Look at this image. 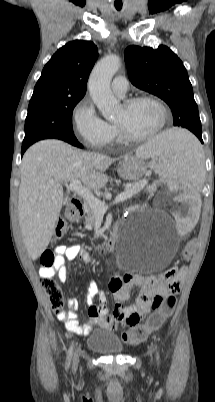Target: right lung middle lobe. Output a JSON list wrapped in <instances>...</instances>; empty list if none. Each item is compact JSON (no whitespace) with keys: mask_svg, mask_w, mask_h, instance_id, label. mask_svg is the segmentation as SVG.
Masks as SVG:
<instances>
[{"mask_svg":"<svg viewBox=\"0 0 215 402\" xmlns=\"http://www.w3.org/2000/svg\"><path fill=\"white\" fill-rule=\"evenodd\" d=\"M81 99L47 94L32 96L22 145L47 138L66 142L76 139L72 129V111Z\"/></svg>","mask_w":215,"mask_h":402,"instance_id":"right-lung-middle-lobe-1","label":"right lung middle lobe"}]
</instances>
